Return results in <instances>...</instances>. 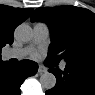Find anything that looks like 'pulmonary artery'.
Here are the masks:
<instances>
[{"instance_id": "e3ab8cb5", "label": "pulmonary artery", "mask_w": 95, "mask_h": 95, "mask_svg": "<svg viewBox=\"0 0 95 95\" xmlns=\"http://www.w3.org/2000/svg\"><path fill=\"white\" fill-rule=\"evenodd\" d=\"M49 27L45 23H36L33 26V41L35 43L44 42L49 37ZM27 54V49H11L4 53L5 59H22ZM66 67V62H62L61 69Z\"/></svg>"}]
</instances>
